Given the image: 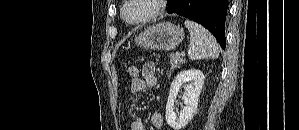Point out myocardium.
Segmentation results:
<instances>
[{"instance_id":"myocardium-1","label":"myocardium","mask_w":299,"mask_h":130,"mask_svg":"<svg viewBox=\"0 0 299 130\" xmlns=\"http://www.w3.org/2000/svg\"><path fill=\"white\" fill-rule=\"evenodd\" d=\"M165 0H127L124 1L120 8L121 20L127 25H141L156 19L165 9ZM135 5H145L149 8L148 12L136 19H128L126 16L127 9Z\"/></svg>"}]
</instances>
